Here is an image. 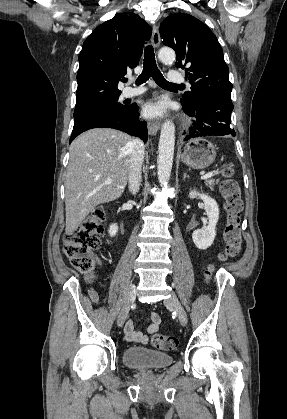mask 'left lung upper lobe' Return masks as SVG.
<instances>
[{"label":"left lung upper lobe","instance_id":"left-lung-upper-lobe-1","mask_svg":"<svg viewBox=\"0 0 287 419\" xmlns=\"http://www.w3.org/2000/svg\"><path fill=\"white\" fill-rule=\"evenodd\" d=\"M163 44L176 52L177 68L185 69L191 91L182 95L181 103L193 106L205 96L231 97L223 50L213 32L200 20L189 14L168 16L160 25Z\"/></svg>","mask_w":287,"mask_h":419}]
</instances>
